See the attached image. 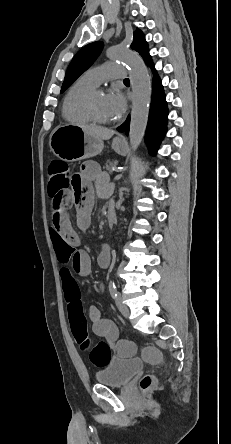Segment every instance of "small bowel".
Wrapping results in <instances>:
<instances>
[{
    "label": "small bowel",
    "instance_id": "1",
    "mask_svg": "<svg viewBox=\"0 0 231 444\" xmlns=\"http://www.w3.org/2000/svg\"><path fill=\"white\" fill-rule=\"evenodd\" d=\"M113 187L108 176L100 170L97 164L85 162L77 174L74 184L62 193L60 206H51L50 236L58 261L63 265L60 276L67 297H78L77 284L72 273L87 275L91 269V260L88 253L79 248V237L73 229L68 210L74 206V220L80 229H86L91 222V211L95 193L106 198L112 193ZM110 261V252L104 246L98 262L102 267H107ZM88 317L92 324L93 332L114 343L118 339L116 325L102 317L100 310L91 306L88 309Z\"/></svg>",
    "mask_w": 231,
    "mask_h": 444
}]
</instances>
